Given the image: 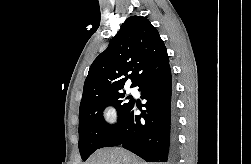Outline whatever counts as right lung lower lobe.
Instances as JSON below:
<instances>
[{"mask_svg": "<svg viewBox=\"0 0 251 164\" xmlns=\"http://www.w3.org/2000/svg\"><path fill=\"white\" fill-rule=\"evenodd\" d=\"M146 110L135 114V104L99 148L122 145L147 162L176 161V121L171 111L169 63L147 74L137 85Z\"/></svg>", "mask_w": 251, "mask_h": 164, "instance_id": "1", "label": "right lung lower lobe"}]
</instances>
